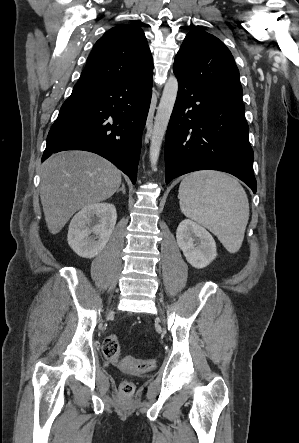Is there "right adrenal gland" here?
Here are the masks:
<instances>
[{
	"label": "right adrenal gland",
	"mask_w": 299,
	"mask_h": 443,
	"mask_svg": "<svg viewBox=\"0 0 299 443\" xmlns=\"http://www.w3.org/2000/svg\"><path fill=\"white\" fill-rule=\"evenodd\" d=\"M120 191H122V193H123V194H125V193H126V190H125V185H124V183L122 184V187H121L120 189H118V190H117V193H119Z\"/></svg>",
	"instance_id": "1"
}]
</instances>
